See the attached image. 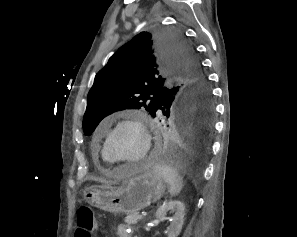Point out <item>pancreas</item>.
<instances>
[{
	"instance_id": "1",
	"label": "pancreas",
	"mask_w": 297,
	"mask_h": 237,
	"mask_svg": "<svg viewBox=\"0 0 297 237\" xmlns=\"http://www.w3.org/2000/svg\"><path fill=\"white\" fill-rule=\"evenodd\" d=\"M139 213L135 212L132 214H129L125 217V223H127L128 225H133V224H137V222L140 220L138 219Z\"/></svg>"
}]
</instances>
